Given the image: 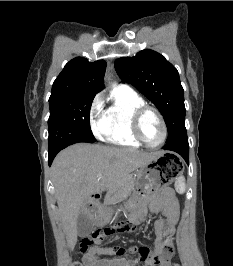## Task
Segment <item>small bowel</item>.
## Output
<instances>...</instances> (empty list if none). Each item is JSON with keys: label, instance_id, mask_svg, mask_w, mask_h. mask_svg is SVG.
Here are the masks:
<instances>
[{"label": "small bowel", "instance_id": "c3829d8e", "mask_svg": "<svg viewBox=\"0 0 233 266\" xmlns=\"http://www.w3.org/2000/svg\"><path fill=\"white\" fill-rule=\"evenodd\" d=\"M152 214L163 215L154 223L156 239L153 248L147 246H131L130 252L138 253V257L128 260L119 255L115 256L112 247H100L95 244L83 256L84 266H137L147 264L150 266H170L169 259L173 249V235L178 221V203L172 190L166 189L163 194L154 199L149 205ZM147 214V199L140 200L138 210L132 215L134 223L143 221ZM80 266H82L80 264Z\"/></svg>", "mask_w": 233, "mask_h": 266}]
</instances>
